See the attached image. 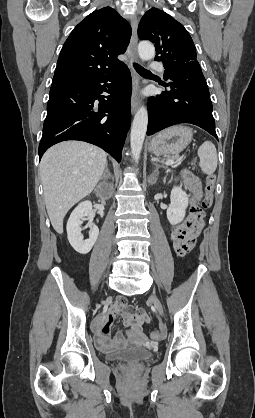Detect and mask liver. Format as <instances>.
<instances>
[{"label": "liver", "instance_id": "6515ba94", "mask_svg": "<svg viewBox=\"0 0 255 418\" xmlns=\"http://www.w3.org/2000/svg\"><path fill=\"white\" fill-rule=\"evenodd\" d=\"M106 165L104 150L81 141H65L45 152L40 175L47 213L57 233H63L69 209L94 190Z\"/></svg>", "mask_w": 255, "mask_h": 418}]
</instances>
